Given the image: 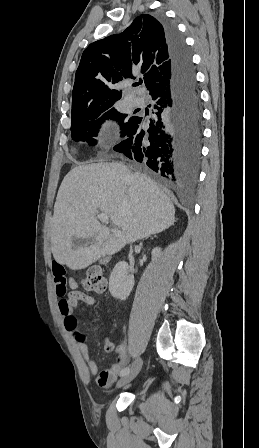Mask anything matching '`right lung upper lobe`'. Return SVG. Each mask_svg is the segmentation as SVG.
<instances>
[{"label": "right lung upper lobe", "mask_w": 259, "mask_h": 448, "mask_svg": "<svg viewBox=\"0 0 259 448\" xmlns=\"http://www.w3.org/2000/svg\"><path fill=\"white\" fill-rule=\"evenodd\" d=\"M140 68L149 94L169 88L172 66L162 24L142 14L123 33L91 43L83 52L75 76L71 113L113 105L121 98L117 83L135 79Z\"/></svg>", "instance_id": "cb5924a9"}]
</instances>
